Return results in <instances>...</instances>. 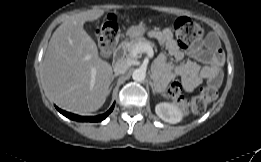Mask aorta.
Segmentation results:
<instances>
[{"label":"aorta","mask_w":261,"mask_h":162,"mask_svg":"<svg viewBox=\"0 0 261 162\" xmlns=\"http://www.w3.org/2000/svg\"><path fill=\"white\" fill-rule=\"evenodd\" d=\"M146 77V71L142 68H138L134 70L132 74V78L134 81L141 82L145 79Z\"/></svg>","instance_id":"762f6f07"}]
</instances>
